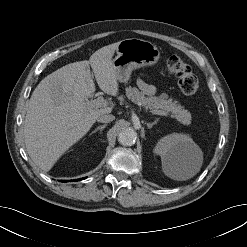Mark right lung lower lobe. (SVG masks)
Listing matches in <instances>:
<instances>
[{
	"label": "right lung lower lobe",
	"mask_w": 247,
	"mask_h": 247,
	"mask_svg": "<svg viewBox=\"0 0 247 247\" xmlns=\"http://www.w3.org/2000/svg\"><path fill=\"white\" fill-rule=\"evenodd\" d=\"M83 179H84V178L78 179V181H79V180H83ZM73 181H77V180H73ZM63 182H66V181H63Z\"/></svg>",
	"instance_id": "obj_1"
}]
</instances>
